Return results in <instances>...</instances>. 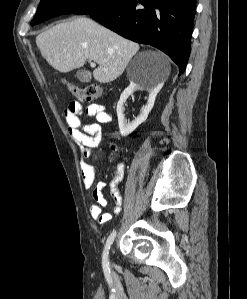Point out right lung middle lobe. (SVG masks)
Listing matches in <instances>:
<instances>
[{"instance_id":"right-lung-middle-lobe-1","label":"right lung middle lobe","mask_w":247,"mask_h":299,"mask_svg":"<svg viewBox=\"0 0 247 299\" xmlns=\"http://www.w3.org/2000/svg\"><path fill=\"white\" fill-rule=\"evenodd\" d=\"M123 0H41L31 25L63 14H90Z\"/></svg>"}]
</instances>
